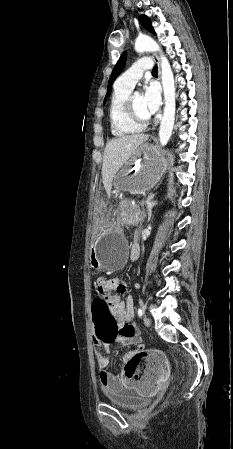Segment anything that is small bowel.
Wrapping results in <instances>:
<instances>
[{
	"label": "small bowel",
	"mask_w": 233,
	"mask_h": 449,
	"mask_svg": "<svg viewBox=\"0 0 233 449\" xmlns=\"http://www.w3.org/2000/svg\"><path fill=\"white\" fill-rule=\"evenodd\" d=\"M132 250L130 256L135 258V253ZM94 285L96 286V295L101 296V301L108 302V310H110L112 318L116 320L119 331L117 342L125 346L140 345L142 343L140 330L133 323V298L131 296L122 297L126 291V283L119 278H113L111 274H98ZM96 338L97 334H93L94 355L97 360L100 381L105 388L118 387L126 383L132 384L133 390H140V394L146 399L157 394L160 384H163V377H167L170 371V364L165 363L166 355L163 354L162 347H147L148 363L145 368H142L141 375L124 377L114 374L107 368L108 359L102 352V348L107 349L112 343H97Z\"/></svg>",
	"instance_id": "c3829d8e"
}]
</instances>
